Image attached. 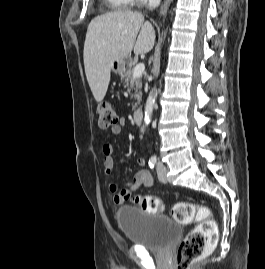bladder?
<instances>
[{"label": "bladder", "instance_id": "obj_1", "mask_svg": "<svg viewBox=\"0 0 265 269\" xmlns=\"http://www.w3.org/2000/svg\"><path fill=\"white\" fill-rule=\"evenodd\" d=\"M115 216L128 242L151 251L168 249L181 235L179 223L164 215L144 212L133 205L120 207Z\"/></svg>", "mask_w": 265, "mask_h": 269}]
</instances>
